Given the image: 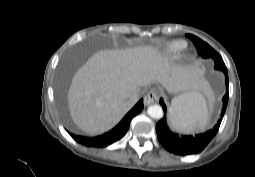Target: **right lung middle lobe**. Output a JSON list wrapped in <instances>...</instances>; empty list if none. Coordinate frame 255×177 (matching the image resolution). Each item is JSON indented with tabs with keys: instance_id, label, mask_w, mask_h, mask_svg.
I'll return each mask as SVG.
<instances>
[{
	"instance_id": "obj_1",
	"label": "right lung middle lobe",
	"mask_w": 255,
	"mask_h": 177,
	"mask_svg": "<svg viewBox=\"0 0 255 177\" xmlns=\"http://www.w3.org/2000/svg\"><path fill=\"white\" fill-rule=\"evenodd\" d=\"M60 99H61V101H62V96H61V94H60Z\"/></svg>"
}]
</instances>
